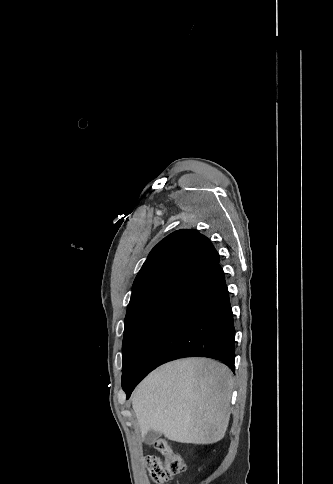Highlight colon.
Returning a JSON list of instances; mask_svg holds the SVG:
<instances>
[{
	"mask_svg": "<svg viewBox=\"0 0 333 484\" xmlns=\"http://www.w3.org/2000/svg\"><path fill=\"white\" fill-rule=\"evenodd\" d=\"M155 448L159 455L146 458L149 475L154 483L162 484L168 482L185 471L186 465L184 460L170 448L165 440H157Z\"/></svg>",
	"mask_w": 333,
	"mask_h": 484,
	"instance_id": "obj_1",
	"label": "colon"
}]
</instances>
